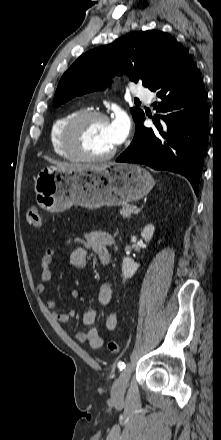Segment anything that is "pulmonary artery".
Returning <instances> with one entry per match:
<instances>
[{
    "instance_id": "obj_1",
    "label": "pulmonary artery",
    "mask_w": 221,
    "mask_h": 440,
    "mask_svg": "<svg viewBox=\"0 0 221 440\" xmlns=\"http://www.w3.org/2000/svg\"><path fill=\"white\" fill-rule=\"evenodd\" d=\"M133 94L141 99V100H145L150 102L152 99V93L150 90L146 89V88H137L134 90Z\"/></svg>"
}]
</instances>
